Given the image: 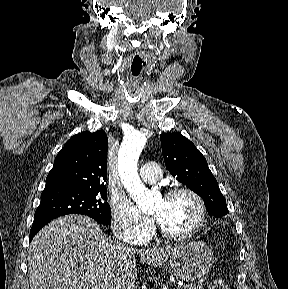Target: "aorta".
<instances>
[{"instance_id": "1", "label": "aorta", "mask_w": 288, "mask_h": 289, "mask_svg": "<svg viewBox=\"0 0 288 289\" xmlns=\"http://www.w3.org/2000/svg\"><path fill=\"white\" fill-rule=\"evenodd\" d=\"M145 142L146 138L140 132H134L124 139L118 154V171L122 184L138 208L148 212L154 208V196L141 182L137 167Z\"/></svg>"}]
</instances>
